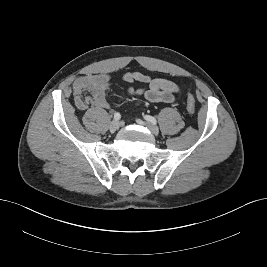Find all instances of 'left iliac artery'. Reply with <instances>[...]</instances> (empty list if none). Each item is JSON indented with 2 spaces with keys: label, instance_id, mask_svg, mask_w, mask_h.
I'll use <instances>...</instances> for the list:
<instances>
[{
  "label": "left iliac artery",
  "instance_id": "44dca946",
  "mask_svg": "<svg viewBox=\"0 0 267 267\" xmlns=\"http://www.w3.org/2000/svg\"><path fill=\"white\" fill-rule=\"evenodd\" d=\"M144 118H145V120H147L148 122H150V123H152L154 125L157 124L156 119L154 117L150 116V115H145Z\"/></svg>",
  "mask_w": 267,
  "mask_h": 267
}]
</instances>
